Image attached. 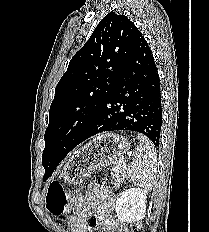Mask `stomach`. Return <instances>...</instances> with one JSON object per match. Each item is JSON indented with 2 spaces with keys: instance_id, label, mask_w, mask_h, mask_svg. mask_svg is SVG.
<instances>
[{
  "instance_id": "stomach-1",
  "label": "stomach",
  "mask_w": 209,
  "mask_h": 232,
  "mask_svg": "<svg viewBox=\"0 0 209 232\" xmlns=\"http://www.w3.org/2000/svg\"><path fill=\"white\" fill-rule=\"evenodd\" d=\"M130 147L123 136L112 133L99 135L70 157L63 168V178L70 184H80L92 171L114 163Z\"/></svg>"
}]
</instances>
